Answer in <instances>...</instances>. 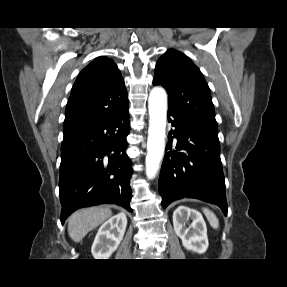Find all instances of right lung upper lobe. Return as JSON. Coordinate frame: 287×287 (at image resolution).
Wrapping results in <instances>:
<instances>
[{
    "mask_svg": "<svg viewBox=\"0 0 287 287\" xmlns=\"http://www.w3.org/2000/svg\"><path fill=\"white\" fill-rule=\"evenodd\" d=\"M128 102L127 90L113 60L98 57L78 75L66 106L64 128L109 115Z\"/></svg>",
    "mask_w": 287,
    "mask_h": 287,
    "instance_id": "right-lung-upper-lobe-1",
    "label": "right lung upper lobe"
}]
</instances>
